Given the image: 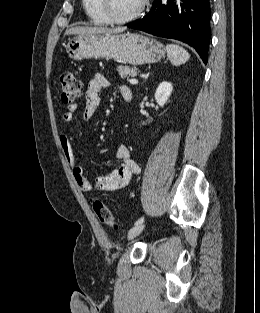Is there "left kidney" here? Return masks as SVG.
<instances>
[{"mask_svg":"<svg viewBox=\"0 0 260 313\" xmlns=\"http://www.w3.org/2000/svg\"><path fill=\"white\" fill-rule=\"evenodd\" d=\"M172 90H173L172 84L167 81L162 82L158 86L155 92V99L159 106L163 107L167 103L172 93Z\"/></svg>","mask_w":260,"mask_h":313,"instance_id":"1","label":"left kidney"}]
</instances>
